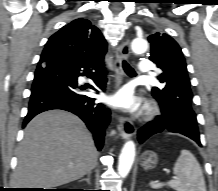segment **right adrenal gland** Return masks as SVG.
<instances>
[{"instance_id": "obj_1", "label": "right adrenal gland", "mask_w": 218, "mask_h": 191, "mask_svg": "<svg viewBox=\"0 0 218 191\" xmlns=\"http://www.w3.org/2000/svg\"><path fill=\"white\" fill-rule=\"evenodd\" d=\"M90 176H91V172H89V173L87 174V178H84V179L80 180V182L86 181L88 184H90Z\"/></svg>"}]
</instances>
